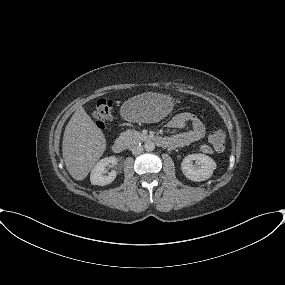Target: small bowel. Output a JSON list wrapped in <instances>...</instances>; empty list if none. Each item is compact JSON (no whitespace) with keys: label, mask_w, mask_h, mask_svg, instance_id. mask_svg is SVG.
Returning a JSON list of instances; mask_svg holds the SVG:
<instances>
[{"label":"small bowel","mask_w":285,"mask_h":285,"mask_svg":"<svg viewBox=\"0 0 285 285\" xmlns=\"http://www.w3.org/2000/svg\"><path fill=\"white\" fill-rule=\"evenodd\" d=\"M188 124L191 125V130L167 138L169 148H182L204 139L206 128L202 121L191 112L177 113L168 121L167 126L171 129H183Z\"/></svg>","instance_id":"small-bowel-1"}]
</instances>
